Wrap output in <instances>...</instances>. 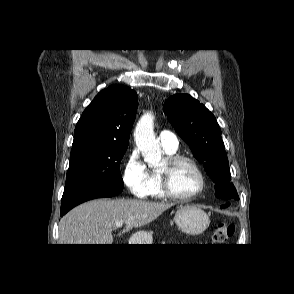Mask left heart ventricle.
I'll list each match as a JSON object with an SVG mask.
<instances>
[{"label":"left heart ventricle","instance_id":"obj_1","mask_svg":"<svg viewBox=\"0 0 294 294\" xmlns=\"http://www.w3.org/2000/svg\"><path fill=\"white\" fill-rule=\"evenodd\" d=\"M166 163L162 166L165 168ZM172 187L181 195H190L200 186V179L196 171L186 163L177 166L172 173Z\"/></svg>","mask_w":294,"mask_h":294}]
</instances>
